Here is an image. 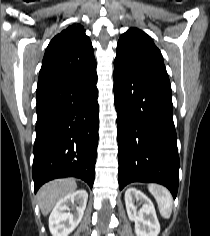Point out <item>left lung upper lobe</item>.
Returning a JSON list of instances; mask_svg holds the SVG:
<instances>
[{"mask_svg": "<svg viewBox=\"0 0 210 236\" xmlns=\"http://www.w3.org/2000/svg\"><path fill=\"white\" fill-rule=\"evenodd\" d=\"M114 67L130 73L169 79L160 50L150 36L136 28H130L121 35Z\"/></svg>", "mask_w": 210, "mask_h": 236, "instance_id": "5c2ea615", "label": "left lung upper lobe"}]
</instances>
